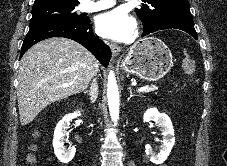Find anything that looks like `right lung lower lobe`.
<instances>
[{
  "instance_id": "obj_1",
  "label": "right lung lower lobe",
  "mask_w": 227,
  "mask_h": 166,
  "mask_svg": "<svg viewBox=\"0 0 227 166\" xmlns=\"http://www.w3.org/2000/svg\"><path fill=\"white\" fill-rule=\"evenodd\" d=\"M51 37H65L75 40L88 49L104 67L109 64L111 50L101 39L93 34L88 18L82 22L48 21L30 27L22 44L20 58L34 44Z\"/></svg>"
}]
</instances>
